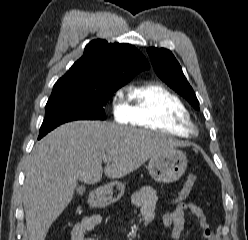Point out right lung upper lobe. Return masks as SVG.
<instances>
[{
	"label": "right lung upper lobe",
	"instance_id": "right-lung-upper-lobe-1",
	"mask_svg": "<svg viewBox=\"0 0 248 240\" xmlns=\"http://www.w3.org/2000/svg\"><path fill=\"white\" fill-rule=\"evenodd\" d=\"M148 68V61L134 46L95 39L86 45L83 56L55 83L53 90L120 88Z\"/></svg>",
	"mask_w": 248,
	"mask_h": 240
}]
</instances>
